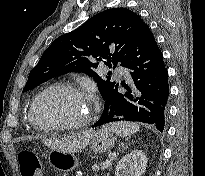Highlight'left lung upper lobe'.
Segmentation results:
<instances>
[{"label":"left lung upper lobe","instance_id":"obj_1","mask_svg":"<svg viewBox=\"0 0 205 176\" xmlns=\"http://www.w3.org/2000/svg\"><path fill=\"white\" fill-rule=\"evenodd\" d=\"M146 24L127 8H112L98 13L76 30L61 35L45 50L31 70L23 92L48 79L69 72L94 77L104 98L115 82L102 80L96 73L97 61L114 69L138 38Z\"/></svg>","mask_w":205,"mask_h":176}]
</instances>
